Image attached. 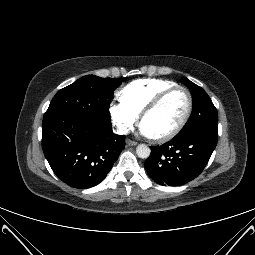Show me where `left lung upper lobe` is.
<instances>
[{"mask_svg": "<svg viewBox=\"0 0 255 255\" xmlns=\"http://www.w3.org/2000/svg\"><path fill=\"white\" fill-rule=\"evenodd\" d=\"M182 81L190 89L193 97V111L183 129L177 136H186L198 133L217 134L218 114L207 93L186 77Z\"/></svg>", "mask_w": 255, "mask_h": 255, "instance_id": "5c2ea615", "label": "left lung upper lobe"}]
</instances>
